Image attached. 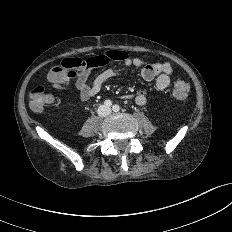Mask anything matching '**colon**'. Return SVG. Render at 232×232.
Masks as SVG:
<instances>
[{
	"instance_id": "obj_1",
	"label": "colon",
	"mask_w": 232,
	"mask_h": 232,
	"mask_svg": "<svg viewBox=\"0 0 232 232\" xmlns=\"http://www.w3.org/2000/svg\"><path fill=\"white\" fill-rule=\"evenodd\" d=\"M92 58L83 59L81 57H70L56 64L50 71L52 79L55 81L70 80L79 72L85 70L92 65ZM189 85L183 80L175 83L173 88V97L176 100H184L188 96ZM30 108L34 112H42L44 109L52 105L55 101L54 95L47 91L42 85L33 87L29 93Z\"/></svg>"
}]
</instances>
